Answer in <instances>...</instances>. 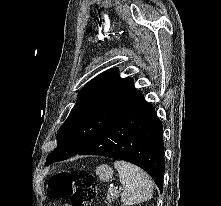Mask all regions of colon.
<instances>
[{"instance_id":"obj_1","label":"colon","mask_w":221,"mask_h":206,"mask_svg":"<svg viewBox=\"0 0 221 206\" xmlns=\"http://www.w3.org/2000/svg\"><path fill=\"white\" fill-rule=\"evenodd\" d=\"M49 189L56 198L68 199L72 206H91L97 193L93 175L78 170L55 174L49 181Z\"/></svg>"}]
</instances>
